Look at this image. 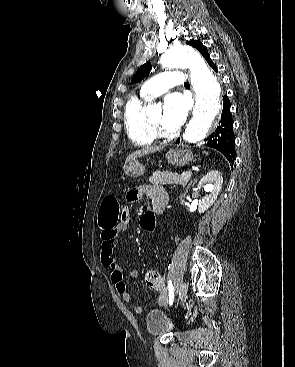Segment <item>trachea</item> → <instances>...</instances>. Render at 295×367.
<instances>
[{
  "label": "trachea",
  "mask_w": 295,
  "mask_h": 367,
  "mask_svg": "<svg viewBox=\"0 0 295 367\" xmlns=\"http://www.w3.org/2000/svg\"><path fill=\"white\" fill-rule=\"evenodd\" d=\"M184 86H185V87H189V83H188V82H185V83H184Z\"/></svg>",
  "instance_id": "1"
}]
</instances>
